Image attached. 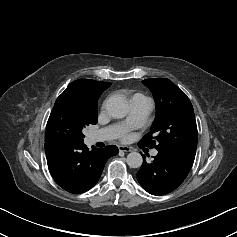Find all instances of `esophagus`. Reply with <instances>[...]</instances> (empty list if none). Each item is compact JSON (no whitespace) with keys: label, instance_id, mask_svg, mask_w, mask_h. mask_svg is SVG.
Instances as JSON below:
<instances>
[{"label":"esophagus","instance_id":"1","mask_svg":"<svg viewBox=\"0 0 237 237\" xmlns=\"http://www.w3.org/2000/svg\"><path fill=\"white\" fill-rule=\"evenodd\" d=\"M120 152H130L132 149L128 146H119L118 147Z\"/></svg>","mask_w":237,"mask_h":237}]
</instances>
